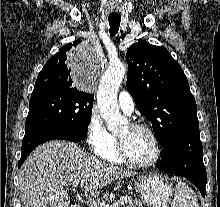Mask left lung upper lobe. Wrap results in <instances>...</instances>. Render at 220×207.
Returning <instances> with one entry per match:
<instances>
[{
  "label": "left lung upper lobe",
  "mask_w": 220,
  "mask_h": 207,
  "mask_svg": "<svg viewBox=\"0 0 220 207\" xmlns=\"http://www.w3.org/2000/svg\"><path fill=\"white\" fill-rule=\"evenodd\" d=\"M126 60L128 90L162 147L180 132L199 128L187 78L166 48L140 40L128 49Z\"/></svg>",
  "instance_id": "1"
}]
</instances>
